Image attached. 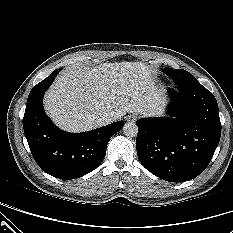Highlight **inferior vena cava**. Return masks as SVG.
Listing matches in <instances>:
<instances>
[{
	"mask_svg": "<svg viewBox=\"0 0 233 233\" xmlns=\"http://www.w3.org/2000/svg\"><path fill=\"white\" fill-rule=\"evenodd\" d=\"M97 122L103 126L111 123L112 119L108 114H104L97 119Z\"/></svg>",
	"mask_w": 233,
	"mask_h": 233,
	"instance_id": "1",
	"label": "inferior vena cava"
}]
</instances>
